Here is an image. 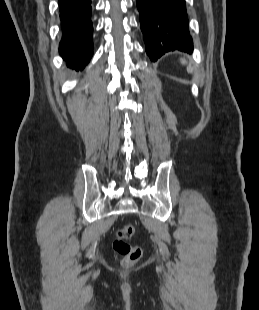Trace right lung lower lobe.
I'll return each instance as SVG.
<instances>
[{
	"instance_id": "98d812e1",
	"label": "right lung lower lobe",
	"mask_w": 259,
	"mask_h": 310,
	"mask_svg": "<svg viewBox=\"0 0 259 310\" xmlns=\"http://www.w3.org/2000/svg\"><path fill=\"white\" fill-rule=\"evenodd\" d=\"M59 52L72 69L84 68L92 57L91 0H59Z\"/></svg>"
}]
</instances>
